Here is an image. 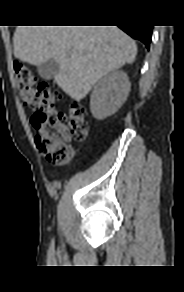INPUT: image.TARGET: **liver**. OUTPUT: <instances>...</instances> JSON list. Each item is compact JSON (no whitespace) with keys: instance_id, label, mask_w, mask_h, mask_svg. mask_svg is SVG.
Segmentation results:
<instances>
[{"instance_id":"6515ba94","label":"liver","mask_w":184,"mask_h":292,"mask_svg":"<svg viewBox=\"0 0 184 292\" xmlns=\"http://www.w3.org/2000/svg\"><path fill=\"white\" fill-rule=\"evenodd\" d=\"M13 47L14 56L31 65L56 61V84L77 101L137 54L135 41L117 26H18Z\"/></svg>"}]
</instances>
